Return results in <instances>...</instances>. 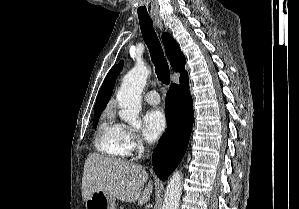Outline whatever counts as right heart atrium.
<instances>
[{"mask_svg": "<svg viewBox=\"0 0 299 209\" xmlns=\"http://www.w3.org/2000/svg\"><path fill=\"white\" fill-rule=\"evenodd\" d=\"M121 140L127 154L133 155L143 150L144 145L139 133L134 132L127 126L119 124Z\"/></svg>", "mask_w": 299, "mask_h": 209, "instance_id": "right-heart-atrium-1", "label": "right heart atrium"}]
</instances>
